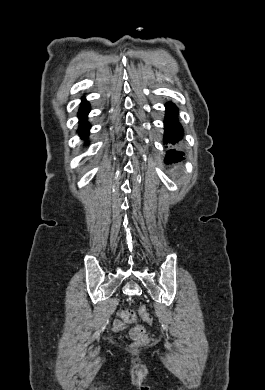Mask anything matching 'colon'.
<instances>
[{
	"mask_svg": "<svg viewBox=\"0 0 265 390\" xmlns=\"http://www.w3.org/2000/svg\"><path fill=\"white\" fill-rule=\"evenodd\" d=\"M138 312L144 321L151 323V315L145 308H139ZM118 316L120 320L126 324L134 323L137 320L135 312L131 310H121ZM130 335L137 344L145 343L148 339L145 328L139 324H136L131 328Z\"/></svg>",
	"mask_w": 265,
	"mask_h": 390,
	"instance_id": "colon-1",
	"label": "colon"
}]
</instances>
